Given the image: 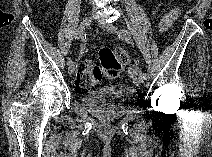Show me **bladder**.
<instances>
[{"mask_svg": "<svg viewBox=\"0 0 212 157\" xmlns=\"http://www.w3.org/2000/svg\"><path fill=\"white\" fill-rule=\"evenodd\" d=\"M137 90L128 86H105L80 94L83 108L103 120L125 115L137 98Z\"/></svg>", "mask_w": 212, "mask_h": 157, "instance_id": "obj_1", "label": "bladder"}]
</instances>
